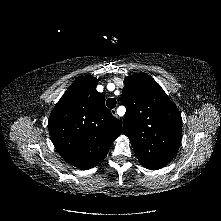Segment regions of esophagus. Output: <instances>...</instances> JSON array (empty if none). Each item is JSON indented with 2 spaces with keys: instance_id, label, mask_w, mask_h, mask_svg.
Here are the masks:
<instances>
[{
  "instance_id": "34e87169",
  "label": "esophagus",
  "mask_w": 221,
  "mask_h": 221,
  "mask_svg": "<svg viewBox=\"0 0 221 221\" xmlns=\"http://www.w3.org/2000/svg\"><path fill=\"white\" fill-rule=\"evenodd\" d=\"M111 113H112L113 116L117 117V110L116 109H112Z\"/></svg>"
}]
</instances>
